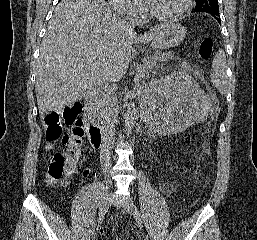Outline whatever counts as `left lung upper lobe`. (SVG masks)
<instances>
[{
    "mask_svg": "<svg viewBox=\"0 0 257 240\" xmlns=\"http://www.w3.org/2000/svg\"><path fill=\"white\" fill-rule=\"evenodd\" d=\"M194 12H206L219 15V5L217 0H195Z\"/></svg>",
    "mask_w": 257,
    "mask_h": 240,
    "instance_id": "left-lung-upper-lobe-1",
    "label": "left lung upper lobe"
}]
</instances>
